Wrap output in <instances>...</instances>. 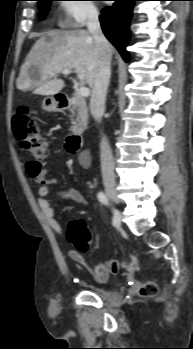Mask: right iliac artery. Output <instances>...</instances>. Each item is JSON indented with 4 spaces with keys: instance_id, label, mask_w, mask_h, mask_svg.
Here are the masks:
<instances>
[{
    "instance_id": "1",
    "label": "right iliac artery",
    "mask_w": 193,
    "mask_h": 349,
    "mask_svg": "<svg viewBox=\"0 0 193 349\" xmlns=\"http://www.w3.org/2000/svg\"><path fill=\"white\" fill-rule=\"evenodd\" d=\"M97 197H98V200H99L102 204L107 205V206L109 205V199H108V197L106 196L105 193L99 192L98 195H97Z\"/></svg>"
}]
</instances>
